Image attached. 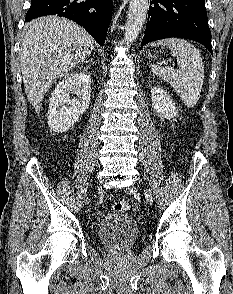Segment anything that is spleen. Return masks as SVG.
Wrapping results in <instances>:
<instances>
[{"label":"spleen","instance_id":"obj_1","mask_svg":"<svg viewBox=\"0 0 233 294\" xmlns=\"http://www.w3.org/2000/svg\"><path fill=\"white\" fill-rule=\"evenodd\" d=\"M157 45L166 46L171 50L179 70L153 64L152 72L168 82L188 108H193L199 100L204 80V66L199 50L179 38L163 39L150 44L151 47Z\"/></svg>","mask_w":233,"mask_h":294}]
</instances>
